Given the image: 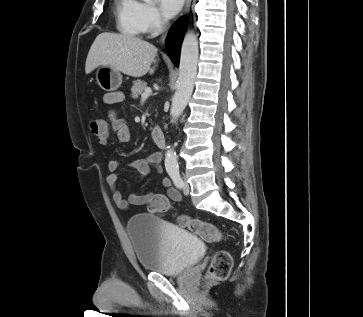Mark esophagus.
<instances>
[{
	"label": "esophagus",
	"instance_id": "34e87169",
	"mask_svg": "<svg viewBox=\"0 0 363 317\" xmlns=\"http://www.w3.org/2000/svg\"><path fill=\"white\" fill-rule=\"evenodd\" d=\"M190 5H191V0H186L185 8L182 14L183 16H185L189 12Z\"/></svg>",
	"mask_w": 363,
	"mask_h": 317
}]
</instances>
